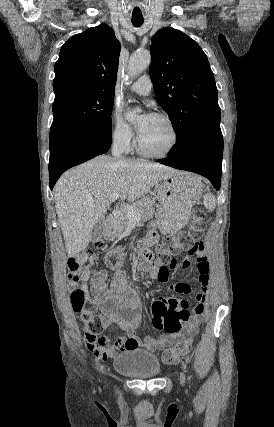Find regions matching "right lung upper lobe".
I'll return each instance as SVG.
<instances>
[{
	"label": "right lung upper lobe",
	"mask_w": 274,
	"mask_h": 427,
	"mask_svg": "<svg viewBox=\"0 0 274 427\" xmlns=\"http://www.w3.org/2000/svg\"><path fill=\"white\" fill-rule=\"evenodd\" d=\"M120 49L103 23L71 37L55 63L54 103L67 95H114Z\"/></svg>",
	"instance_id": "1"
}]
</instances>
